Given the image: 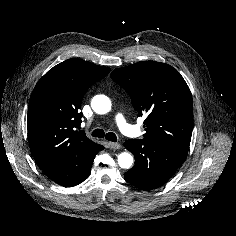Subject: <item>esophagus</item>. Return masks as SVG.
<instances>
[{"label": "esophagus", "instance_id": "obj_1", "mask_svg": "<svg viewBox=\"0 0 236 236\" xmlns=\"http://www.w3.org/2000/svg\"><path fill=\"white\" fill-rule=\"evenodd\" d=\"M109 147L115 150V149H120L121 145L119 143L109 142Z\"/></svg>", "mask_w": 236, "mask_h": 236}]
</instances>
